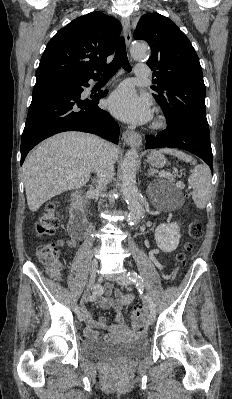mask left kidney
Here are the masks:
<instances>
[{
	"label": "left kidney",
	"mask_w": 232,
	"mask_h": 399,
	"mask_svg": "<svg viewBox=\"0 0 232 399\" xmlns=\"http://www.w3.org/2000/svg\"><path fill=\"white\" fill-rule=\"evenodd\" d=\"M180 237L181 233L176 221H172V223H160L155 229L156 243L162 251H173V249H176Z\"/></svg>",
	"instance_id": "1"
}]
</instances>
